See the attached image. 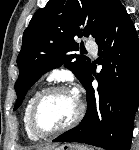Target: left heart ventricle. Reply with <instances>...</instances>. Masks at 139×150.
<instances>
[{
    "label": "left heart ventricle",
    "instance_id": "1",
    "mask_svg": "<svg viewBox=\"0 0 139 150\" xmlns=\"http://www.w3.org/2000/svg\"><path fill=\"white\" fill-rule=\"evenodd\" d=\"M77 111V100L70 92H54L41 103L37 124L42 130H53L68 124Z\"/></svg>",
    "mask_w": 139,
    "mask_h": 150
}]
</instances>
